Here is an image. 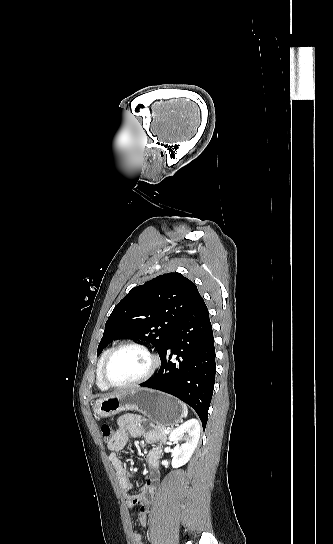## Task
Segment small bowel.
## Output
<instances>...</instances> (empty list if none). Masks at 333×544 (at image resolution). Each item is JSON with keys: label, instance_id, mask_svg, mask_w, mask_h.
I'll return each instance as SVG.
<instances>
[{"label": "small bowel", "instance_id": "c3829d8e", "mask_svg": "<svg viewBox=\"0 0 333 544\" xmlns=\"http://www.w3.org/2000/svg\"><path fill=\"white\" fill-rule=\"evenodd\" d=\"M129 435L133 437L143 436L149 445H156L157 437L153 430L145 427L143 420L138 416L122 415L118 419V429L113 434L111 441L108 442L109 460L116 472L120 488L127 498V505L129 508L138 507L139 521L141 524H145L151 500L160 481L158 469L160 450L158 447H154L147 453L146 463L149 467V473L146 483L140 487L138 495L129 496V491L132 489L131 475L119 457V454L128 443ZM133 544H143L142 536L139 533L133 534Z\"/></svg>", "mask_w": 333, "mask_h": 544}]
</instances>
